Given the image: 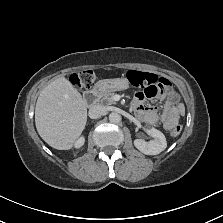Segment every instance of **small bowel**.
<instances>
[{"instance_id": "c3829d8e", "label": "small bowel", "mask_w": 223, "mask_h": 223, "mask_svg": "<svg viewBox=\"0 0 223 223\" xmlns=\"http://www.w3.org/2000/svg\"><path fill=\"white\" fill-rule=\"evenodd\" d=\"M163 80L166 82L164 91L156 95L152 94L149 89L136 93L132 108L143 122L150 125H160L165 130H171L184 115L185 109L182 104L177 102V95L172 90L170 82L164 78ZM147 98H165L161 115L158 114L155 107L145 103Z\"/></svg>"}]
</instances>
